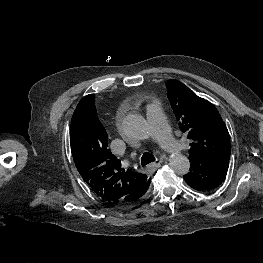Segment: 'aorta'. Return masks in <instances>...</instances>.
I'll return each mask as SVG.
<instances>
[{
  "label": "aorta",
  "instance_id": "762f6f07",
  "mask_svg": "<svg viewBox=\"0 0 263 263\" xmlns=\"http://www.w3.org/2000/svg\"><path fill=\"white\" fill-rule=\"evenodd\" d=\"M122 129L130 139L142 140L147 137V123L139 114H128L122 122ZM170 166L176 174L185 175L189 172V159L182 154H173L170 157Z\"/></svg>",
  "mask_w": 263,
  "mask_h": 263
}]
</instances>
